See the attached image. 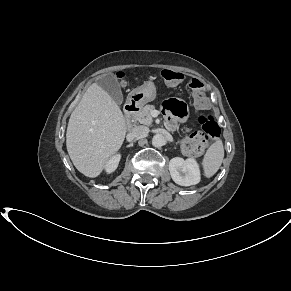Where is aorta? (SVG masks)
Segmentation results:
<instances>
[{"label": "aorta", "instance_id": "obj_1", "mask_svg": "<svg viewBox=\"0 0 291 291\" xmlns=\"http://www.w3.org/2000/svg\"><path fill=\"white\" fill-rule=\"evenodd\" d=\"M165 144V138L162 134H156L152 138V145L154 147H161Z\"/></svg>", "mask_w": 291, "mask_h": 291}]
</instances>
